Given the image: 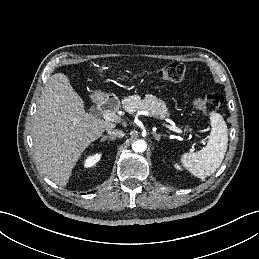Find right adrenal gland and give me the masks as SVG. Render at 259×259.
<instances>
[{
	"mask_svg": "<svg viewBox=\"0 0 259 259\" xmlns=\"http://www.w3.org/2000/svg\"><path fill=\"white\" fill-rule=\"evenodd\" d=\"M115 139V137L114 136H111V135H106V136H102L101 137V141H105V140H111V141H113Z\"/></svg>",
	"mask_w": 259,
	"mask_h": 259,
	"instance_id": "obj_1",
	"label": "right adrenal gland"
}]
</instances>
